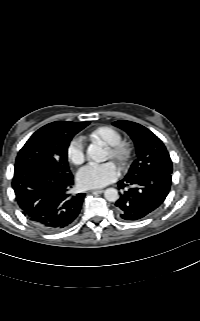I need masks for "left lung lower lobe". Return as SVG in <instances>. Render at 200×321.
I'll list each match as a JSON object with an SVG mask.
<instances>
[{"instance_id": "1", "label": "left lung lower lobe", "mask_w": 200, "mask_h": 321, "mask_svg": "<svg viewBox=\"0 0 200 321\" xmlns=\"http://www.w3.org/2000/svg\"><path fill=\"white\" fill-rule=\"evenodd\" d=\"M172 183L171 173L149 171L125 176L118 182L125 189L115 203L121 221L139 220L157 209L165 200Z\"/></svg>"}]
</instances>
